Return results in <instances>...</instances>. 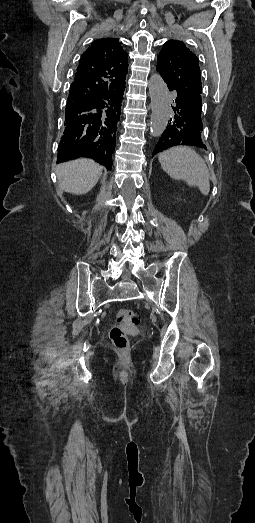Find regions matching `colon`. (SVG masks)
I'll use <instances>...</instances> for the list:
<instances>
[{
  "label": "colon",
  "mask_w": 255,
  "mask_h": 523,
  "mask_svg": "<svg viewBox=\"0 0 255 523\" xmlns=\"http://www.w3.org/2000/svg\"><path fill=\"white\" fill-rule=\"evenodd\" d=\"M116 317L118 322L123 324H137L139 322V317L130 309H120ZM110 339L117 349L121 351L128 349V336L121 326H115L111 329Z\"/></svg>",
  "instance_id": "5ec220e1"
}]
</instances>
